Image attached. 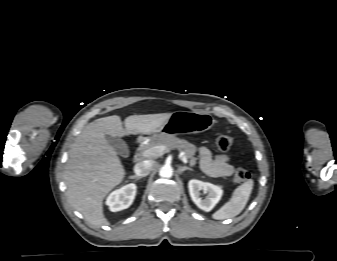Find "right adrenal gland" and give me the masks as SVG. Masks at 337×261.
I'll return each mask as SVG.
<instances>
[{
  "label": "right adrenal gland",
  "instance_id": "right-adrenal-gland-1",
  "mask_svg": "<svg viewBox=\"0 0 337 261\" xmlns=\"http://www.w3.org/2000/svg\"><path fill=\"white\" fill-rule=\"evenodd\" d=\"M141 178H142V177L137 176V175L130 176V179H137V180H140Z\"/></svg>",
  "mask_w": 337,
  "mask_h": 261
}]
</instances>
